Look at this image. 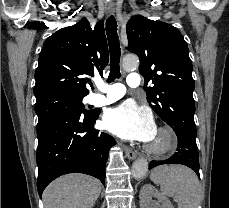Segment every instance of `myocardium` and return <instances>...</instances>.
I'll return each instance as SVG.
<instances>
[{
  "mask_svg": "<svg viewBox=\"0 0 229 208\" xmlns=\"http://www.w3.org/2000/svg\"><path fill=\"white\" fill-rule=\"evenodd\" d=\"M156 132L165 134L168 138H165V142L159 143L160 147H156L151 144L146 145L147 152L154 157H163L172 153L178 146V137L176 132L169 126H161Z\"/></svg>",
  "mask_w": 229,
  "mask_h": 208,
  "instance_id": "obj_1",
  "label": "myocardium"
}]
</instances>
